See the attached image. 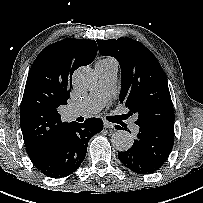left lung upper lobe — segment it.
Segmentation results:
<instances>
[{
	"instance_id": "left-lung-upper-lobe-1",
	"label": "left lung upper lobe",
	"mask_w": 203,
	"mask_h": 203,
	"mask_svg": "<svg viewBox=\"0 0 203 203\" xmlns=\"http://www.w3.org/2000/svg\"><path fill=\"white\" fill-rule=\"evenodd\" d=\"M103 56L120 64L122 88L119 101L135 114L139 127L174 132V110L166 75L153 53L127 37L97 40Z\"/></svg>"
}]
</instances>
